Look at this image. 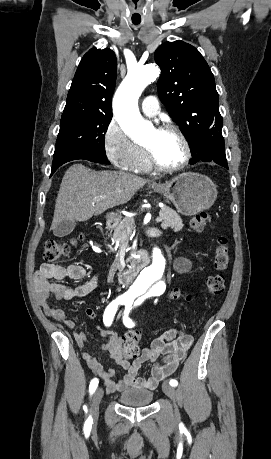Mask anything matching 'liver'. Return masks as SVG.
Listing matches in <instances>:
<instances>
[{
  "label": "liver",
  "instance_id": "liver-1",
  "mask_svg": "<svg viewBox=\"0 0 271 459\" xmlns=\"http://www.w3.org/2000/svg\"><path fill=\"white\" fill-rule=\"evenodd\" d=\"M147 182L128 172H95L74 164L63 176L50 229L66 220L86 222L108 208L126 204Z\"/></svg>",
  "mask_w": 271,
  "mask_h": 459
}]
</instances>
